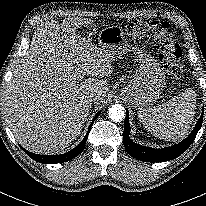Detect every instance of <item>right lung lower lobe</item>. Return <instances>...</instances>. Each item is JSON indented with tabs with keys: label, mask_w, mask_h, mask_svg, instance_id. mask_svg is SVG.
Here are the masks:
<instances>
[{
	"label": "right lung lower lobe",
	"mask_w": 206,
	"mask_h": 206,
	"mask_svg": "<svg viewBox=\"0 0 206 206\" xmlns=\"http://www.w3.org/2000/svg\"><path fill=\"white\" fill-rule=\"evenodd\" d=\"M99 114H100V112H98L96 114V116L94 117L92 123L89 126L88 132L86 133V135L83 138V140L81 141V143L67 153L60 154V155H37V154L31 153L23 148L22 149L33 160L40 162V163L55 164V163H62V162L69 161V160L75 158L76 156H78L83 151L85 144H86V141H87V138H88V135H89V132H90V128H91L94 120L99 116Z\"/></svg>",
	"instance_id": "98d812e1"
}]
</instances>
